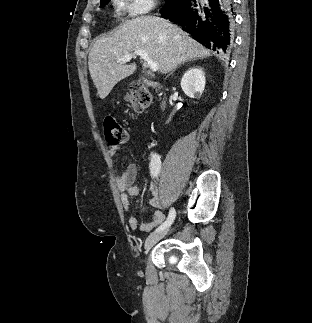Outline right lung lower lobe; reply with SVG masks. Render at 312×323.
I'll use <instances>...</instances> for the list:
<instances>
[{
  "label": "right lung lower lobe",
  "instance_id": "right-lung-lower-lobe-1",
  "mask_svg": "<svg viewBox=\"0 0 312 323\" xmlns=\"http://www.w3.org/2000/svg\"><path fill=\"white\" fill-rule=\"evenodd\" d=\"M197 1L180 0L160 13L206 48L218 54L229 53L233 43L235 3L233 0Z\"/></svg>",
  "mask_w": 312,
  "mask_h": 323
}]
</instances>
